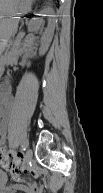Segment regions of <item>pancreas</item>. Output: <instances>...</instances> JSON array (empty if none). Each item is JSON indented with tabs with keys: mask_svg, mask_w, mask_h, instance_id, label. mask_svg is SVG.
Wrapping results in <instances>:
<instances>
[{
	"mask_svg": "<svg viewBox=\"0 0 103 193\" xmlns=\"http://www.w3.org/2000/svg\"><path fill=\"white\" fill-rule=\"evenodd\" d=\"M13 25H14V22L11 21L10 26H13ZM19 43H20L19 37H16L14 40H12L9 44V49L7 50L6 54L4 55V58L12 57L13 55H15L17 48L19 46Z\"/></svg>",
	"mask_w": 103,
	"mask_h": 193,
	"instance_id": "1",
	"label": "pancreas"
}]
</instances>
